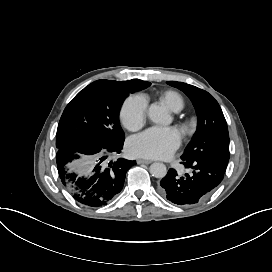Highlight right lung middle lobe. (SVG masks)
Instances as JSON below:
<instances>
[{
  "mask_svg": "<svg viewBox=\"0 0 272 272\" xmlns=\"http://www.w3.org/2000/svg\"><path fill=\"white\" fill-rule=\"evenodd\" d=\"M150 82L97 80L66 106L57 129L56 147L78 140H90L112 146L124 142L119 111L125 97L145 89Z\"/></svg>",
  "mask_w": 272,
  "mask_h": 272,
  "instance_id": "1",
  "label": "right lung middle lobe"
}]
</instances>
